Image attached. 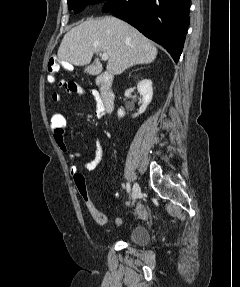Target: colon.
<instances>
[{
	"mask_svg": "<svg viewBox=\"0 0 240 287\" xmlns=\"http://www.w3.org/2000/svg\"><path fill=\"white\" fill-rule=\"evenodd\" d=\"M47 70L49 73V81L53 82L54 81V75L55 73L58 71V63L56 61L55 58H51L48 62L47 65ZM59 85L61 87H64L65 89H67L68 91L70 90H75L78 85L75 82L72 81H60ZM49 122H50V128L52 130V133L55 135H62L65 132L66 129V118L64 117V115L58 111H54L50 118H49ZM74 179V183L76 185V188L78 190V193L81 197V200L83 201L85 207L87 208L88 212L90 213V215L92 216V218L100 225H106L109 222L108 217L103 214L102 212H100L92 198L91 195L88 191V188L86 186V182L84 177L79 174L76 173L73 176ZM116 224H121V219H116L115 220Z\"/></svg>",
	"mask_w": 240,
	"mask_h": 287,
	"instance_id": "colon-1",
	"label": "colon"
}]
</instances>
